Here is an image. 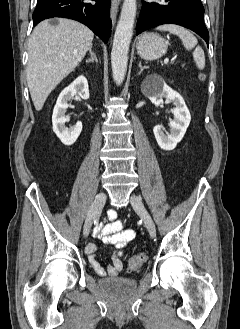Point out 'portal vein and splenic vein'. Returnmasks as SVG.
I'll return each mask as SVG.
<instances>
[{
	"instance_id": "portal-vein-and-splenic-vein-1",
	"label": "portal vein and splenic vein",
	"mask_w": 240,
	"mask_h": 329,
	"mask_svg": "<svg viewBox=\"0 0 240 329\" xmlns=\"http://www.w3.org/2000/svg\"><path fill=\"white\" fill-rule=\"evenodd\" d=\"M168 63H169V59H168V58H165V59H164V64L167 65Z\"/></svg>"
}]
</instances>
